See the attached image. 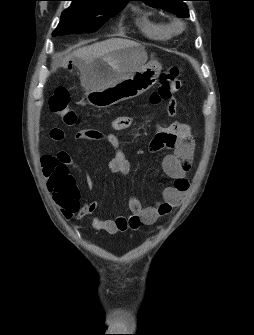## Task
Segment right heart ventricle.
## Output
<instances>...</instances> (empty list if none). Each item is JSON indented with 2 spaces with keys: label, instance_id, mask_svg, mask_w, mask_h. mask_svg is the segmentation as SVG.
I'll use <instances>...</instances> for the list:
<instances>
[{
  "label": "right heart ventricle",
  "instance_id": "1",
  "mask_svg": "<svg viewBox=\"0 0 254 335\" xmlns=\"http://www.w3.org/2000/svg\"><path fill=\"white\" fill-rule=\"evenodd\" d=\"M137 26L148 38L154 40H167L171 37L172 30L165 22L152 17L149 13H142L137 18Z\"/></svg>",
  "mask_w": 254,
  "mask_h": 335
}]
</instances>
